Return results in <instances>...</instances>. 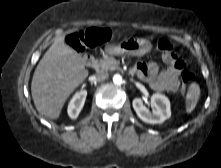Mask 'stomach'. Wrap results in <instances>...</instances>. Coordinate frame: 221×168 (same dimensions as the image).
I'll return each mask as SVG.
<instances>
[{"label":"stomach","mask_w":221,"mask_h":168,"mask_svg":"<svg viewBox=\"0 0 221 168\" xmlns=\"http://www.w3.org/2000/svg\"><path fill=\"white\" fill-rule=\"evenodd\" d=\"M152 49L149 40L142 38H127L117 44L106 47V52L112 55L143 56Z\"/></svg>","instance_id":"obj_1"}]
</instances>
